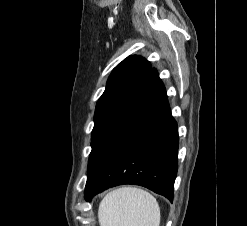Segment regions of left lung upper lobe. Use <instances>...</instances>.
<instances>
[{"label":"left lung upper lobe","mask_w":247,"mask_h":226,"mask_svg":"<svg viewBox=\"0 0 247 226\" xmlns=\"http://www.w3.org/2000/svg\"><path fill=\"white\" fill-rule=\"evenodd\" d=\"M151 68L149 61L134 55L127 57L114 69L96 105L91 146Z\"/></svg>","instance_id":"1"}]
</instances>
